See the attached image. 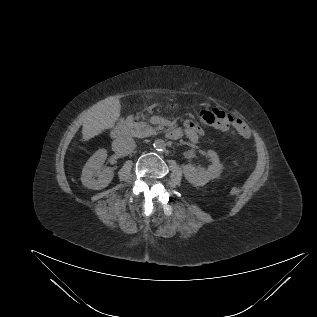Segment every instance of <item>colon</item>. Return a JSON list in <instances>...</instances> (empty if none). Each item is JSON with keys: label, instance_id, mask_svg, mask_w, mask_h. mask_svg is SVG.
<instances>
[{"label": "colon", "instance_id": "1", "mask_svg": "<svg viewBox=\"0 0 317 317\" xmlns=\"http://www.w3.org/2000/svg\"><path fill=\"white\" fill-rule=\"evenodd\" d=\"M223 113L218 109H204L200 112V119L206 125H220Z\"/></svg>", "mask_w": 317, "mask_h": 317}]
</instances>
